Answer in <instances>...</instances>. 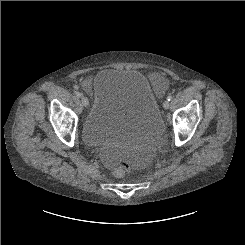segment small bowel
Instances as JSON below:
<instances>
[{
    "mask_svg": "<svg viewBox=\"0 0 245 245\" xmlns=\"http://www.w3.org/2000/svg\"><path fill=\"white\" fill-rule=\"evenodd\" d=\"M150 81L158 95H162L165 92V90L168 88V85H169L167 80L155 74L150 75ZM90 84H91V81L86 80L84 83V87L88 90L90 89Z\"/></svg>",
    "mask_w": 245,
    "mask_h": 245,
    "instance_id": "1",
    "label": "small bowel"
}]
</instances>
